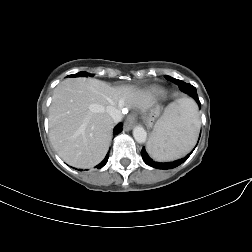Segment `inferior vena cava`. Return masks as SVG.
Returning a JSON list of instances; mask_svg holds the SVG:
<instances>
[{
    "mask_svg": "<svg viewBox=\"0 0 252 252\" xmlns=\"http://www.w3.org/2000/svg\"><path fill=\"white\" fill-rule=\"evenodd\" d=\"M106 112L111 116L115 123L120 122L123 118L122 112L113 106H107Z\"/></svg>",
    "mask_w": 252,
    "mask_h": 252,
    "instance_id": "602c4592",
    "label": "inferior vena cava"
}]
</instances>
